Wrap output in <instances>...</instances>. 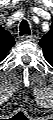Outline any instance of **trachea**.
Listing matches in <instances>:
<instances>
[{
  "instance_id": "trachea-1",
  "label": "trachea",
  "mask_w": 53,
  "mask_h": 120,
  "mask_svg": "<svg viewBox=\"0 0 53 120\" xmlns=\"http://www.w3.org/2000/svg\"><path fill=\"white\" fill-rule=\"evenodd\" d=\"M20 36L22 35H30L31 34V30H30V27H29V24L26 20H23L21 23H20Z\"/></svg>"
}]
</instances>
